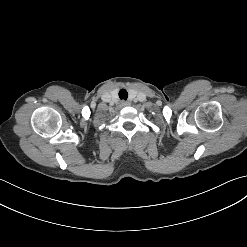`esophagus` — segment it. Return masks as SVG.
I'll list each match as a JSON object with an SVG mask.
<instances>
[{"instance_id": "34e87169", "label": "esophagus", "mask_w": 247, "mask_h": 247, "mask_svg": "<svg viewBox=\"0 0 247 247\" xmlns=\"http://www.w3.org/2000/svg\"><path fill=\"white\" fill-rule=\"evenodd\" d=\"M121 105H122V106H127V105H129V102H127V101H122V102H121Z\"/></svg>"}]
</instances>
